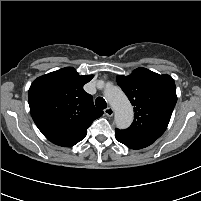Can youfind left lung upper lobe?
I'll return each instance as SVG.
<instances>
[{
    "label": "left lung upper lobe",
    "mask_w": 201,
    "mask_h": 201,
    "mask_svg": "<svg viewBox=\"0 0 201 201\" xmlns=\"http://www.w3.org/2000/svg\"><path fill=\"white\" fill-rule=\"evenodd\" d=\"M117 83L134 106V122L124 133L158 139L166 130L177 96L171 76L146 68L129 76H118Z\"/></svg>",
    "instance_id": "obj_1"
}]
</instances>
